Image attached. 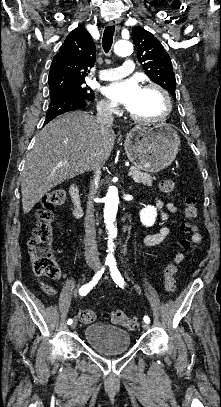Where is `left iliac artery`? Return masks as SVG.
<instances>
[{
	"label": "left iliac artery",
	"mask_w": 221,
	"mask_h": 407,
	"mask_svg": "<svg viewBox=\"0 0 221 407\" xmlns=\"http://www.w3.org/2000/svg\"><path fill=\"white\" fill-rule=\"evenodd\" d=\"M110 266V271H111V276L113 281L121 288H124L125 286V282L124 279L122 278L116 263H112L109 265ZM144 322L149 323L150 322V318L148 316H144Z\"/></svg>",
	"instance_id": "1"
}]
</instances>
